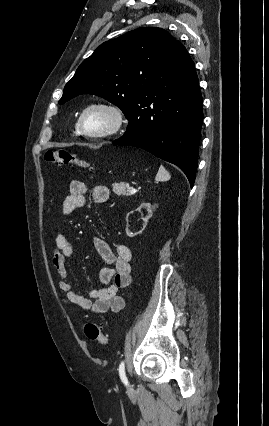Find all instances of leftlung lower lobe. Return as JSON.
I'll return each mask as SVG.
<instances>
[{
  "label": "left lung lower lobe",
  "mask_w": 269,
  "mask_h": 426,
  "mask_svg": "<svg viewBox=\"0 0 269 426\" xmlns=\"http://www.w3.org/2000/svg\"><path fill=\"white\" fill-rule=\"evenodd\" d=\"M117 145L135 146L177 165L194 185L203 120L194 62L175 41L150 79L149 89L129 109Z\"/></svg>",
  "instance_id": "obj_1"
}]
</instances>
